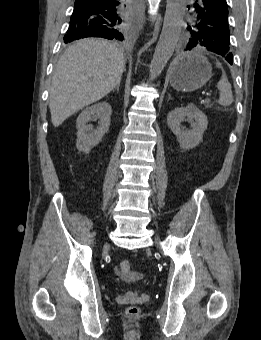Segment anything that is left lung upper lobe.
Wrapping results in <instances>:
<instances>
[{
  "instance_id": "left-lung-upper-lobe-1",
  "label": "left lung upper lobe",
  "mask_w": 261,
  "mask_h": 340,
  "mask_svg": "<svg viewBox=\"0 0 261 340\" xmlns=\"http://www.w3.org/2000/svg\"><path fill=\"white\" fill-rule=\"evenodd\" d=\"M188 30L185 35L186 44L193 38L197 42L195 47L201 46L205 50L214 52L225 59L231 54L228 18L225 20L207 18V21L200 24L195 23L193 20L191 26H188Z\"/></svg>"
}]
</instances>
